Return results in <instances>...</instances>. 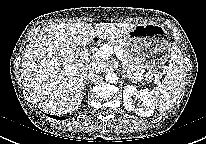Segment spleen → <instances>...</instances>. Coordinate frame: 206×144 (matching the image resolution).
I'll return each mask as SVG.
<instances>
[{
	"instance_id": "spleen-1",
	"label": "spleen",
	"mask_w": 206,
	"mask_h": 144,
	"mask_svg": "<svg viewBox=\"0 0 206 144\" xmlns=\"http://www.w3.org/2000/svg\"><path fill=\"white\" fill-rule=\"evenodd\" d=\"M171 51L170 63L166 68L167 76L158 87L150 92L154 105L160 112L172 106L178 99L184 84L183 57L176 46H173Z\"/></svg>"
}]
</instances>
